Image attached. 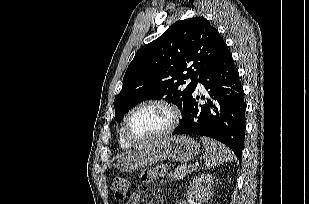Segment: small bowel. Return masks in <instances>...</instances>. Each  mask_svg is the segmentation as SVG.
Masks as SVG:
<instances>
[{
	"label": "small bowel",
	"mask_w": 309,
	"mask_h": 204,
	"mask_svg": "<svg viewBox=\"0 0 309 204\" xmlns=\"http://www.w3.org/2000/svg\"><path fill=\"white\" fill-rule=\"evenodd\" d=\"M165 170V167H157V168H149L146 169L142 172L141 174V179L143 182L148 183L152 181L156 176L160 175L163 171ZM141 199L140 194H134L131 199L129 204H139Z\"/></svg>",
	"instance_id": "1"
}]
</instances>
